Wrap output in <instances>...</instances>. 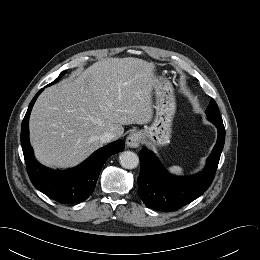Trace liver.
Returning a JSON list of instances; mask_svg holds the SVG:
<instances>
[{
  "label": "liver",
  "instance_id": "1",
  "mask_svg": "<svg viewBox=\"0 0 260 260\" xmlns=\"http://www.w3.org/2000/svg\"><path fill=\"white\" fill-rule=\"evenodd\" d=\"M154 64L109 58L45 89L30 116L35 156L49 167H74L102 146L100 135L152 119Z\"/></svg>",
  "mask_w": 260,
  "mask_h": 260
}]
</instances>
